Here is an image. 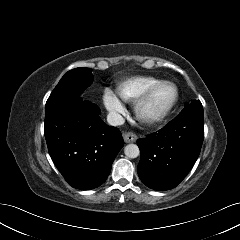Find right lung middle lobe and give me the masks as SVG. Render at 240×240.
I'll use <instances>...</instances> for the list:
<instances>
[{
  "label": "right lung middle lobe",
  "instance_id": "dd1d6c3e",
  "mask_svg": "<svg viewBox=\"0 0 240 240\" xmlns=\"http://www.w3.org/2000/svg\"><path fill=\"white\" fill-rule=\"evenodd\" d=\"M93 82V75L89 68H75L68 71L54 88L46 105L52 102L80 96Z\"/></svg>",
  "mask_w": 240,
  "mask_h": 240
}]
</instances>
